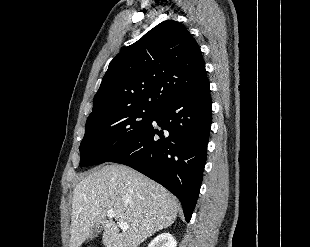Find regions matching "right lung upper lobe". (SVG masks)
I'll list each match as a JSON object with an SVG mask.
<instances>
[{"mask_svg": "<svg viewBox=\"0 0 310 247\" xmlns=\"http://www.w3.org/2000/svg\"><path fill=\"white\" fill-rule=\"evenodd\" d=\"M207 81L197 42L184 25L166 20L110 62L87 121L128 108L157 110Z\"/></svg>", "mask_w": 310, "mask_h": 247, "instance_id": "obj_1", "label": "right lung upper lobe"}]
</instances>
